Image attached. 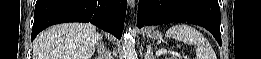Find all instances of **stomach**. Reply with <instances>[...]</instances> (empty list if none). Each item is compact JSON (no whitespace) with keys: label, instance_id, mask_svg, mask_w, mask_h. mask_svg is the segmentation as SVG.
<instances>
[{"label":"stomach","instance_id":"1","mask_svg":"<svg viewBox=\"0 0 261 59\" xmlns=\"http://www.w3.org/2000/svg\"><path fill=\"white\" fill-rule=\"evenodd\" d=\"M146 36L150 39H159L161 37V34L158 31H154L151 28H148L146 31Z\"/></svg>","mask_w":261,"mask_h":59}]
</instances>
